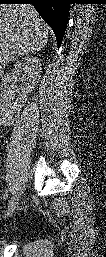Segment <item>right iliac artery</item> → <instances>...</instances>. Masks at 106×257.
<instances>
[{"instance_id": "right-iliac-artery-1", "label": "right iliac artery", "mask_w": 106, "mask_h": 257, "mask_svg": "<svg viewBox=\"0 0 106 257\" xmlns=\"http://www.w3.org/2000/svg\"><path fill=\"white\" fill-rule=\"evenodd\" d=\"M15 197L12 195H6V200H7V204L8 206L10 205V203L13 201Z\"/></svg>"}]
</instances>
